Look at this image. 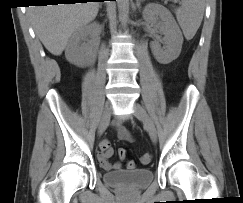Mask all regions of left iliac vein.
<instances>
[{
    "label": "left iliac vein",
    "instance_id": "1",
    "mask_svg": "<svg viewBox=\"0 0 243 203\" xmlns=\"http://www.w3.org/2000/svg\"><path fill=\"white\" fill-rule=\"evenodd\" d=\"M134 114L144 124L150 138L155 142L157 140V130L146 110L140 104L136 103L134 105Z\"/></svg>",
    "mask_w": 243,
    "mask_h": 203
}]
</instances>
